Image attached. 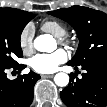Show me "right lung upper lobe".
<instances>
[{
  "mask_svg": "<svg viewBox=\"0 0 107 107\" xmlns=\"http://www.w3.org/2000/svg\"><path fill=\"white\" fill-rule=\"evenodd\" d=\"M21 15H29L31 14L30 12H26V11H22V10H19V9H16Z\"/></svg>",
  "mask_w": 107,
  "mask_h": 107,
  "instance_id": "cb5924a9",
  "label": "right lung upper lobe"
}]
</instances>
